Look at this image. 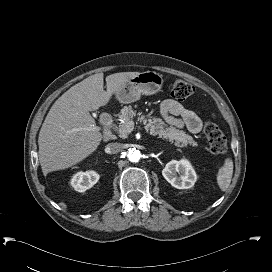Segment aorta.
I'll list each match as a JSON object with an SVG mask.
<instances>
[{
	"mask_svg": "<svg viewBox=\"0 0 272 272\" xmlns=\"http://www.w3.org/2000/svg\"><path fill=\"white\" fill-rule=\"evenodd\" d=\"M127 157L131 162H138L141 158V153L137 149H129L127 152Z\"/></svg>",
	"mask_w": 272,
	"mask_h": 272,
	"instance_id": "762f6f07",
	"label": "aorta"
}]
</instances>
